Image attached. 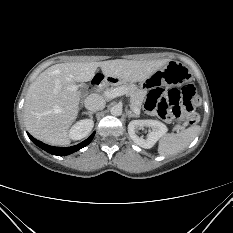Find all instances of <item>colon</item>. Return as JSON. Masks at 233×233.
<instances>
[{
    "instance_id": "colon-1",
    "label": "colon",
    "mask_w": 233,
    "mask_h": 233,
    "mask_svg": "<svg viewBox=\"0 0 233 233\" xmlns=\"http://www.w3.org/2000/svg\"><path fill=\"white\" fill-rule=\"evenodd\" d=\"M197 102L198 96L191 84L182 89L155 88L150 90L146 97L145 109L167 121L185 118L190 125H194L200 119L198 113L193 110Z\"/></svg>"
}]
</instances>
